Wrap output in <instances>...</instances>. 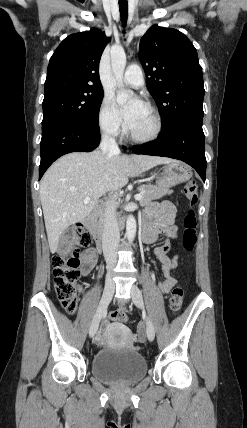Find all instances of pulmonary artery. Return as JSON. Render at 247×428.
I'll return each instance as SVG.
<instances>
[{
  "label": "pulmonary artery",
  "instance_id": "pulmonary-artery-1",
  "mask_svg": "<svg viewBox=\"0 0 247 428\" xmlns=\"http://www.w3.org/2000/svg\"><path fill=\"white\" fill-rule=\"evenodd\" d=\"M123 81L125 84L137 88L143 85L144 78L141 68L138 65H131L124 73Z\"/></svg>",
  "mask_w": 247,
  "mask_h": 428
}]
</instances>
